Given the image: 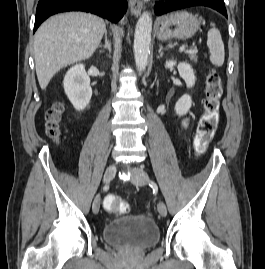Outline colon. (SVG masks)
Segmentation results:
<instances>
[{
  "mask_svg": "<svg viewBox=\"0 0 265 269\" xmlns=\"http://www.w3.org/2000/svg\"><path fill=\"white\" fill-rule=\"evenodd\" d=\"M222 94V81L218 72L209 70L206 77L205 98L203 113L198 123L194 138V150L202 155L210 145L219 123V101ZM64 105L54 104L46 113V134L54 139H59L62 130ZM104 208L110 213H125L129 206L125 200L117 195H108L104 199Z\"/></svg>",
  "mask_w": 265,
  "mask_h": 269,
  "instance_id": "5ec220e1",
  "label": "colon"
}]
</instances>
